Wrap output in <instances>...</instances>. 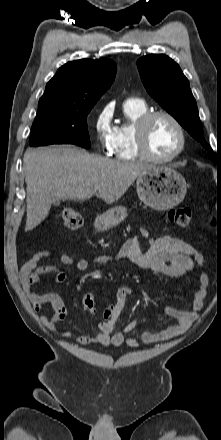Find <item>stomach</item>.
Wrapping results in <instances>:
<instances>
[{
    "instance_id": "obj_1",
    "label": "stomach",
    "mask_w": 221,
    "mask_h": 440,
    "mask_svg": "<svg viewBox=\"0 0 221 440\" xmlns=\"http://www.w3.org/2000/svg\"><path fill=\"white\" fill-rule=\"evenodd\" d=\"M138 196L142 202L159 211L178 205L185 197L187 184L176 170L166 166H153L136 181ZM127 216V209L116 206L95 219V227L105 231L117 226Z\"/></svg>"
}]
</instances>
